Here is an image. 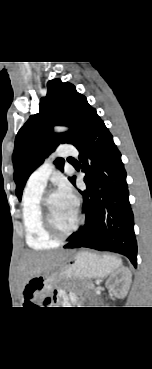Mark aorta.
Returning a JSON list of instances; mask_svg holds the SVG:
<instances>
[{
  "label": "aorta",
  "mask_w": 152,
  "mask_h": 369,
  "mask_svg": "<svg viewBox=\"0 0 152 369\" xmlns=\"http://www.w3.org/2000/svg\"><path fill=\"white\" fill-rule=\"evenodd\" d=\"M66 130H67V128H65V127H55L54 128L55 132H63V131H66Z\"/></svg>",
  "instance_id": "aorta-1"
}]
</instances>
